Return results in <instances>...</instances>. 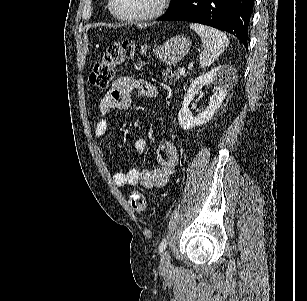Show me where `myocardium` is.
Wrapping results in <instances>:
<instances>
[{
	"label": "myocardium",
	"instance_id": "1",
	"mask_svg": "<svg viewBox=\"0 0 307 301\" xmlns=\"http://www.w3.org/2000/svg\"><path fill=\"white\" fill-rule=\"evenodd\" d=\"M168 0H160L155 11H131L124 10L123 13H118V3L116 0H110L108 12L115 16L116 22H149L150 18L160 17L163 10L168 4Z\"/></svg>",
	"mask_w": 307,
	"mask_h": 301
}]
</instances>
